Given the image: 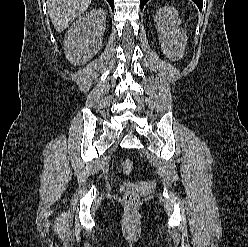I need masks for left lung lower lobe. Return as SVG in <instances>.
<instances>
[{
    "label": "left lung lower lobe",
    "instance_id": "left-lung-lower-lobe-1",
    "mask_svg": "<svg viewBox=\"0 0 248 247\" xmlns=\"http://www.w3.org/2000/svg\"><path fill=\"white\" fill-rule=\"evenodd\" d=\"M149 0H140V6H141V10L143 9L144 5L148 2ZM197 6L198 8L201 10L202 6H203V0H192Z\"/></svg>",
    "mask_w": 248,
    "mask_h": 247
}]
</instances>
